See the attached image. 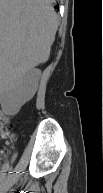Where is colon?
Wrapping results in <instances>:
<instances>
[{"label":"colon","mask_w":103,"mask_h":193,"mask_svg":"<svg viewBox=\"0 0 103 193\" xmlns=\"http://www.w3.org/2000/svg\"><path fill=\"white\" fill-rule=\"evenodd\" d=\"M1 136L3 138H10L11 137V131L6 126L1 127Z\"/></svg>","instance_id":"obj_1"}]
</instances>
